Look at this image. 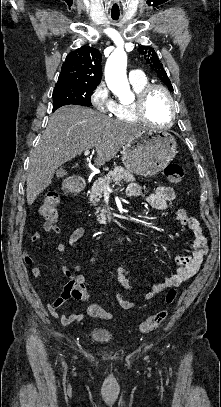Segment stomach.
Masks as SVG:
<instances>
[{
	"instance_id": "obj_1",
	"label": "stomach",
	"mask_w": 221,
	"mask_h": 407,
	"mask_svg": "<svg viewBox=\"0 0 221 407\" xmlns=\"http://www.w3.org/2000/svg\"><path fill=\"white\" fill-rule=\"evenodd\" d=\"M176 141L164 131L143 130L132 137L121 152L123 165L140 176L160 172L175 157Z\"/></svg>"
}]
</instances>
